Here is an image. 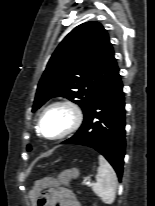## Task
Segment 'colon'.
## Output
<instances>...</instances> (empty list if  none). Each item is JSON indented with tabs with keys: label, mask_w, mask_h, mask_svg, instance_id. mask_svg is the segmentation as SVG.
Here are the masks:
<instances>
[{
	"label": "colon",
	"mask_w": 155,
	"mask_h": 206,
	"mask_svg": "<svg viewBox=\"0 0 155 206\" xmlns=\"http://www.w3.org/2000/svg\"><path fill=\"white\" fill-rule=\"evenodd\" d=\"M65 180L64 175H61L58 179L45 178L40 181L41 188H47L48 191L54 187L60 186V184ZM40 188V189H41ZM40 189L35 188L37 191L35 194L37 206H42L46 202V193L41 192Z\"/></svg>",
	"instance_id": "colon-1"
}]
</instances>
